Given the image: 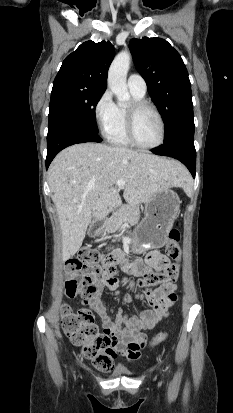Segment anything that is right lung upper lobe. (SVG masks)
<instances>
[{
    "label": "right lung upper lobe",
    "mask_w": 233,
    "mask_h": 413,
    "mask_svg": "<svg viewBox=\"0 0 233 413\" xmlns=\"http://www.w3.org/2000/svg\"><path fill=\"white\" fill-rule=\"evenodd\" d=\"M114 54L109 41L82 43L63 61L53 86L72 84L105 91L107 72Z\"/></svg>",
    "instance_id": "1"
}]
</instances>
